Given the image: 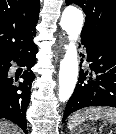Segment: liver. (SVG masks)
<instances>
[{
	"label": "liver",
	"mask_w": 116,
	"mask_h": 134,
	"mask_svg": "<svg viewBox=\"0 0 116 134\" xmlns=\"http://www.w3.org/2000/svg\"><path fill=\"white\" fill-rule=\"evenodd\" d=\"M0 134H19V132L10 124L0 121Z\"/></svg>",
	"instance_id": "6515ba94"
}]
</instances>
